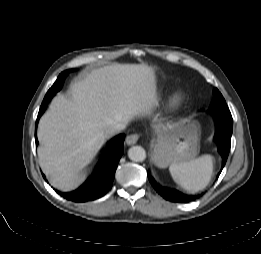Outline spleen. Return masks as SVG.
I'll use <instances>...</instances> for the list:
<instances>
[{
	"instance_id": "3e777b00",
	"label": "spleen",
	"mask_w": 261,
	"mask_h": 254,
	"mask_svg": "<svg viewBox=\"0 0 261 254\" xmlns=\"http://www.w3.org/2000/svg\"><path fill=\"white\" fill-rule=\"evenodd\" d=\"M173 180L189 193L203 190L213 174V158L203 155L184 163H172L169 167Z\"/></svg>"
}]
</instances>
